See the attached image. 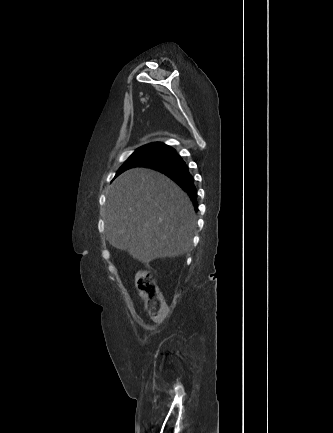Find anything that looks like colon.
Instances as JSON below:
<instances>
[{
	"label": "colon",
	"instance_id": "colon-1",
	"mask_svg": "<svg viewBox=\"0 0 333 433\" xmlns=\"http://www.w3.org/2000/svg\"><path fill=\"white\" fill-rule=\"evenodd\" d=\"M135 284L141 296L146 300V310L150 318L158 323L166 319V301L154 278L147 272L139 271Z\"/></svg>",
	"mask_w": 333,
	"mask_h": 433
}]
</instances>
